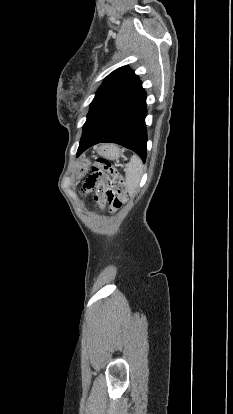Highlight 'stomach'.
<instances>
[{
  "mask_svg": "<svg viewBox=\"0 0 233 414\" xmlns=\"http://www.w3.org/2000/svg\"><path fill=\"white\" fill-rule=\"evenodd\" d=\"M99 154L109 159H117L120 156V150L114 145H103L99 149ZM90 166V162L87 159H83L77 166V173L83 174Z\"/></svg>",
  "mask_w": 233,
  "mask_h": 414,
  "instance_id": "obj_1",
  "label": "stomach"
}]
</instances>
